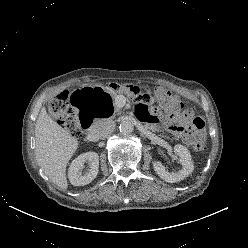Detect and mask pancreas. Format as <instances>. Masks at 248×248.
<instances>
[{
  "label": "pancreas",
  "instance_id": "cf45deb5",
  "mask_svg": "<svg viewBox=\"0 0 248 248\" xmlns=\"http://www.w3.org/2000/svg\"><path fill=\"white\" fill-rule=\"evenodd\" d=\"M116 113L120 114L121 113V109L120 108H116Z\"/></svg>",
  "mask_w": 248,
  "mask_h": 248
}]
</instances>
